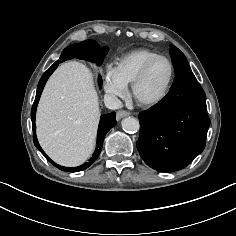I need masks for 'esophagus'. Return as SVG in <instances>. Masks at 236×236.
Masks as SVG:
<instances>
[{
    "mask_svg": "<svg viewBox=\"0 0 236 236\" xmlns=\"http://www.w3.org/2000/svg\"><path fill=\"white\" fill-rule=\"evenodd\" d=\"M130 113L128 111H125V110H119L116 114V119L117 121H119L120 119L126 117V116H129Z\"/></svg>",
    "mask_w": 236,
    "mask_h": 236,
    "instance_id": "1",
    "label": "esophagus"
}]
</instances>
